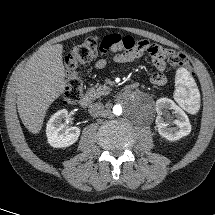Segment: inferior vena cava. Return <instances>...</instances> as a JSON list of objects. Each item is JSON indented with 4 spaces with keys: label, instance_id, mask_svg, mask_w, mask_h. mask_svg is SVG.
Listing matches in <instances>:
<instances>
[{
    "label": "inferior vena cava",
    "instance_id": "1",
    "mask_svg": "<svg viewBox=\"0 0 215 215\" xmlns=\"http://www.w3.org/2000/svg\"><path fill=\"white\" fill-rule=\"evenodd\" d=\"M89 113L93 117H98L104 112V105L100 102L93 103L89 106Z\"/></svg>",
    "mask_w": 215,
    "mask_h": 215
}]
</instances>
